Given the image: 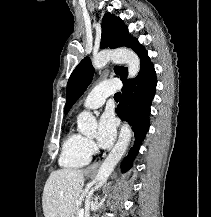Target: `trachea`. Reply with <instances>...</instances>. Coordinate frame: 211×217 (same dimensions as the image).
I'll list each match as a JSON object with an SVG mask.
<instances>
[{
    "instance_id": "trachea-1",
    "label": "trachea",
    "mask_w": 211,
    "mask_h": 217,
    "mask_svg": "<svg viewBox=\"0 0 211 217\" xmlns=\"http://www.w3.org/2000/svg\"><path fill=\"white\" fill-rule=\"evenodd\" d=\"M121 96V93L120 92H117L115 95H114V98H120Z\"/></svg>"
}]
</instances>
